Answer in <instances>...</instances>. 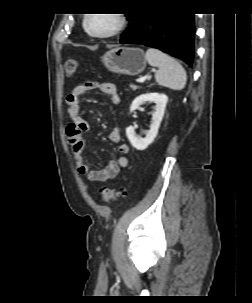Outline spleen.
<instances>
[{"label": "spleen", "instance_id": "1", "mask_svg": "<svg viewBox=\"0 0 252 303\" xmlns=\"http://www.w3.org/2000/svg\"><path fill=\"white\" fill-rule=\"evenodd\" d=\"M151 66L158 68L156 82L172 90H182L186 85L187 75L178 61L158 49L149 48L145 55Z\"/></svg>", "mask_w": 252, "mask_h": 303}]
</instances>
